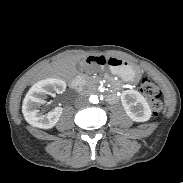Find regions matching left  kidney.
<instances>
[{
    "instance_id": "1",
    "label": "left kidney",
    "mask_w": 183,
    "mask_h": 183,
    "mask_svg": "<svg viewBox=\"0 0 183 183\" xmlns=\"http://www.w3.org/2000/svg\"><path fill=\"white\" fill-rule=\"evenodd\" d=\"M121 103L126 114L135 122L148 121L152 115L146 99L136 90H125L121 94Z\"/></svg>"
}]
</instances>
